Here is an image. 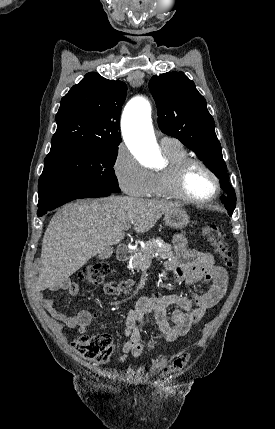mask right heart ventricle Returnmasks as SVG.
<instances>
[{
    "label": "right heart ventricle",
    "mask_w": 275,
    "mask_h": 429,
    "mask_svg": "<svg viewBox=\"0 0 275 429\" xmlns=\"http://www.w3.org/2000/svg\"><path fill=\"white\" fill-rule=\"evenodd\" d=\"M162 150L167 158L168 163L165 168L152 172V185L148 196L155 198H172L173 196L169 190L168 185L167 170L175 163L189 157V155L181 144L162 147Z\"/></svg>",
    "instance_id": "right-heart-ventricle-1"
}]
</instances>
